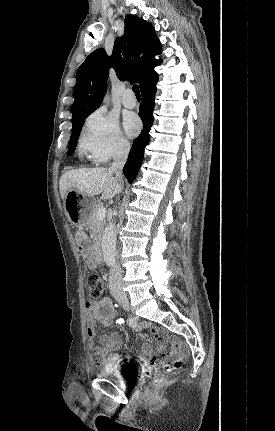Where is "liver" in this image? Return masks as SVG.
I'll use <instances>...</instances> for the list:
<instances>
[{
	"label": "liver",
	"mask_w": 275,
	"mask_h": 431,
	"mask_svg": "<svg viewBox=\"0 0 275 431\" xmlns=\"http://www.w3.org/2000/svg\"><path fill=\"white\" fill-rule=\"evenodd\" d=\"M123 187V182L106 168H90L66 171L60 178L59 189L62 200L69 190H76L93 197L102 194L103 200L113 198Z\"/></svg>",
	"instance_id": "liver-1"
}]
</instances>
